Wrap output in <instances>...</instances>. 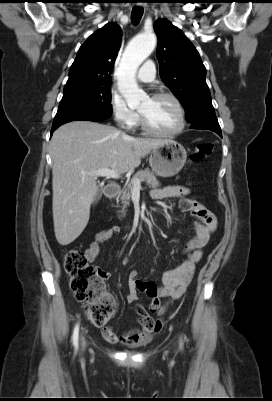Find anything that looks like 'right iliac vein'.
<instances>
[{
  "label": "right iliac vein",
  "mask_w": 272,
  "mask_h": 401,
  "mask_svg": "<svg viewBox=\"0 0 272 401\" xmlns=\"http://www.w3.org/2000/svg\"><path fill=\"white\" fill-rule=\"evenodd\" d=\"M82 344L84 345V340L82 339Z\"/></svg>",
  "instance_id": "1"
}]
</instances>
